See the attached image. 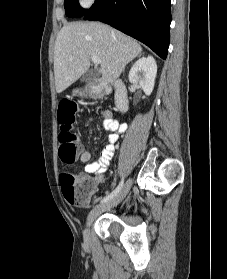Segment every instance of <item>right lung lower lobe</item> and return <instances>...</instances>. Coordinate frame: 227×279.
<instances>
[{
  "mask_svg": "<svg viewBox=\"0 0 227 279\" xmlns=\"http://www.w3.org/2000/svg\"><path fill=\"white\" fill-rule=\"evenodd\" d=\"M171 0H96L85 20L101 21L134 37L166 59Z\"/></svg>",
  "mask_w": 227,
  "mask_h": 279,
  "instance_id": "1",
  "label": "right lung lower lobe"
}]
</instances>
